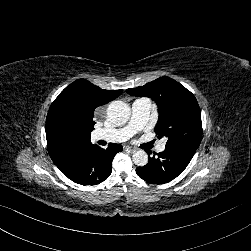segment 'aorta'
<instances>
[{
	"label": "aorta",
	"mask_w": 251,
	"mask_h": 251,
	"mask_svg": "<svg viewBox=\"0 0 251 251\" xmlns=\"http://www.w3.org/2000/svg\"><path fill=\"white\" fill-rule=\"evenodd\" d=\"M130 117V108L123 101H112L107 109V121L116 126L124 125ZM134 164L143 167L148 163V155L143 150H137L132 155Z\"/></svg>",
	"instance_id": "1"
}]
</instances>
